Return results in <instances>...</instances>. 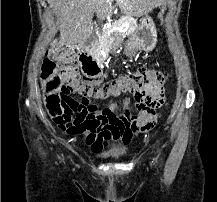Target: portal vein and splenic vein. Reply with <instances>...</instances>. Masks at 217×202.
Masks as SVG:
<instances>
[{"mask_svg":"<svg viewBox=\"0 0 217 202\" xmlns=\"http://www.w3.org/2000/svg\"><path fill=\"white\" fill-rule=\"evenodd\" d=\"M129 24L130 22H128V24H125V28H129Z\"/></svg>","mask_w":217,"mask_h":202,"instance_id":"18ae733b","label":"portal vein and splenic vein"}]
</instances>
